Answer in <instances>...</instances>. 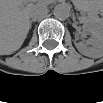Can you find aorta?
<instances>
[{
	"label": "aorta",
	"mask_w": 103,
	"mask_h": 103,
	"mask_svg": "<svg viewBox=\"0 0 103 103\" xmlns=\"http://www.w3.org/2000/svg\"><path fill=\"white\" fill-rule=\"evenodd\" d=\"M54 16L59 20H65L70 15V7L66 3L57 4L53 10Z\"/></svg>",
	"instance_id": "1"
}]
</instances>
